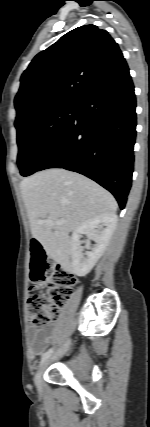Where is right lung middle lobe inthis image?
Instances as JSON below:
<instances>
[{
    "label": "right lung middle lobe",
    "instance_id": "right-lung-middle-lobe-1",
    "mask_svg": "<svg viewBox=\"0 0 150 427\" xmlns=\"http://www.w3.org/2000/svg\"><path fill=\"white\" fill-rule=\"evenodd\" d=\"M77 106L54 105L33 110L15 121L22 176L36 172L41 162L72 123Z\"/></svg>",
    "mask_w": 150,
    "mask_h": 427
}]
</instances>
